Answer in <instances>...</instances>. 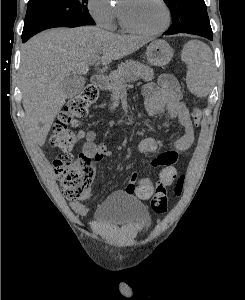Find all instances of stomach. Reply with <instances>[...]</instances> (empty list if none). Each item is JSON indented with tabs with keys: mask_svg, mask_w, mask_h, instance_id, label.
I'll list each match as a JSON object with an SVG mask.
<instances>
[{
	"mask_svg": "<svg viewBox=\"0 0 245 300\" xmlns=\"http://www.w3.org/2000/svg\"><path fill=\"white\" fill-rule=\"evenodd\" d=\"M173 56V49L164 40H155L147 47L146 58L152 66H165Z\"/></svg>",
	"mask_w": 245,
	"mask_h": 300,
	"instance_id": "stomach-1",
	"label": "stomach"
}]
</instances>
